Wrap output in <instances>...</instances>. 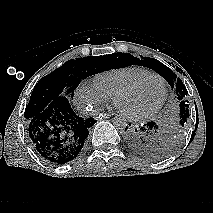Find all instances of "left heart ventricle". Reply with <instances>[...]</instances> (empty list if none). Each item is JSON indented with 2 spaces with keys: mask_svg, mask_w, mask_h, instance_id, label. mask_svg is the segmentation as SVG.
I'll return each instance as SVG.
<instances>
[{
  "mask_svg": "<svg viewBox=\"0 0 213 213\" xmlns=\"http://www.w3.org/2000/svg\"><path fill=\"white\" fill-rule=\"evenodd\" d=\"M163 84L157 78H147L119 101L122 110L142 113L156 106L163 97Z\"/></svg>",
  "mask_w": 213,
  "mask_h": 213,
  "instance_id": "left-heart-ventricle-1",
  "label": "left heart ventricle"
}]
</instances>
